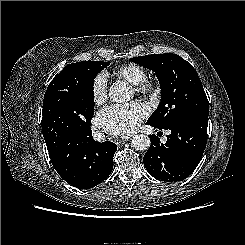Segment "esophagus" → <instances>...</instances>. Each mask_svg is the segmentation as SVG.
<instances>
[{"label": "esophagus", "instance_id": "obj_1", "mask_svg": "<svg viewBox=\"0 0 245 245\" xmlns=\"http://www.w3.org/2000/svg\"><path fill=\"white\" fill-rule=\"evenodd\" d=\"M130 139H131V136L126 137L125 139H120V140L117 141V144H118V143H124L125 141H128V140H130Z\"/></svg>", "mask_w": 245, "mask_h": 245}]
</instances>
